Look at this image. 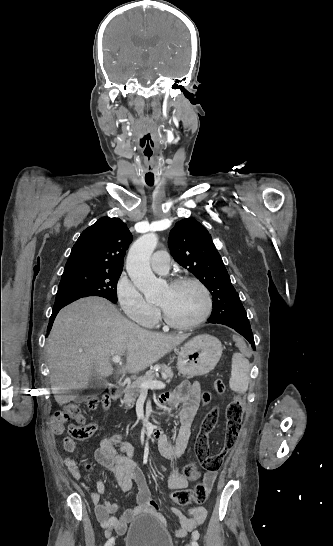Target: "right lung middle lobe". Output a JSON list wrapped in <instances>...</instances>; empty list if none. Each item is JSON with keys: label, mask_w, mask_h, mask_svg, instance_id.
<instances>
[{"label": "right lung middle lobe", "mask_w": 333, "mask_h": 546, "mask_svg": "<svg viewBox=\"0 0 333 546\" xmlns=\"http://www.w3.org/2000/svg\"><path fill=\"white\" fill-rule=\"evenodd\" d=\"M122 270L77 272L62 275L54 309L88 296H100L117 303L116 286Z\"/></svg>", "instance_id": "obj_1"}]
</instances>
